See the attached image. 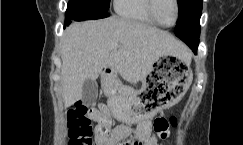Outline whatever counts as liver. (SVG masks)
Wrapping results in <instances>:
<instances>
[{
	"mask_svg": "<svg viewBox=\"0 0 243 145\" xmlns=\"http://www.w3.org/2000/svg\"><path fill=\"white\" fill-rule=\"evenodd\" d=\"M166 55L189 56L182 42L156 27L117 16L73 23L61 47L64 104L68 107L80 100L85 80H96L104 68L136 83Z\"/></svg>",
	"mask_w": 243,
	"mask_h": 145,
	"instance_id": "1",
	"label": "liver"
}]
</instances>
